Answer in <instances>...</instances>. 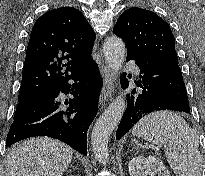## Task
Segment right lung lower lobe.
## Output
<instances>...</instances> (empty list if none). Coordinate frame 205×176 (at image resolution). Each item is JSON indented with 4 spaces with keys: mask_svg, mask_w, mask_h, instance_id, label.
Listing matches in <instances>:
<instances>
[{
    "mask_svg": "<svg viewBox=\"0 0 205 176\" xmlns=\"http://www.w3.org/2000/svg\"><path fill=\"white\" fill-rule=\"evenodd\" d=\"M74 80L70 85L68 80ZM101 76L94 60L71 73L32 101L13 121L6 140L7 147L35 136L61 140L87 155V131L97 114ZM74 96L62 102L59 93ZM64 104L69 105L64 109Z\"/></svg>",
    "mask_w": 205,
    "mask_h": 176,
    "instance_id": "right-lung-lower-lobe-1",
    "label": "right lung lower lobe"
}]
</instances>
